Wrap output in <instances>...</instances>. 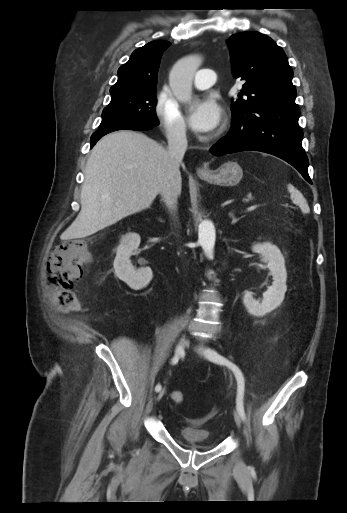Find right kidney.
Instances as JSON below:
<instances>
[{"label": "right kidney", "instance_id": "1", "mask_svg": "<svg viewBox=\"0 0 347 513\" xmlns=\"http://www.w3.org/2000/svg\"><path fill=\"white\" fill-rule=\"evenodd\" d=\"M140 240V236L136 233H129L123 236L116 249V257L113 264L115 275L135 290L146 287L152 279L150 268L136 271L130 260V256L138 248Z\"/></svg>", "mask_w": 347, "mask_h": 513}]
</instances>
